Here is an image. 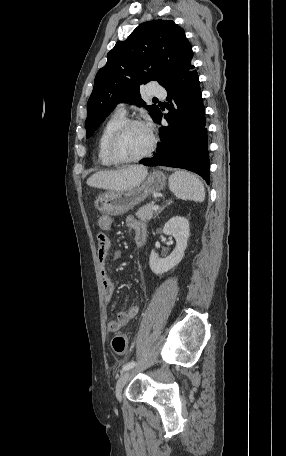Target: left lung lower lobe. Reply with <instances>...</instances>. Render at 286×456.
<instances>
[{"label":"left lung lower lobe","mask_w":286,"mask_h":456,"mask_svg":"<svg viewBox=\"0 0 286 456\" xmlns=\"http://www.w3.org/2000/svg\"><path fill=\"white\" fill-rule=\"evenodd\" d=\"M169 105V113L164 117L168 126L160 130L161 144L156 155L143 161L144 165H163L184 168L199 174L210 183L207 129L205 108L199 86L197 71L192 60L164 87ZM162 112L156 118L161 123Z\"/></svg>","instance_id":"obj_1"}]
</instances>
